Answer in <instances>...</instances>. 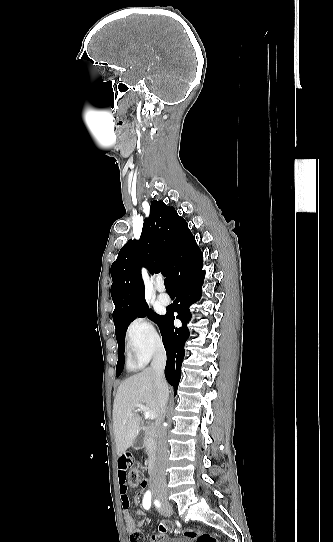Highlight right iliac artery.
<instances>
[{
	"mask_svg": "<svg viewBox=\"0 0 333 542\" xmlns=\"http://www.w3.org/2000/svg\"><path fill=\"white\" fill-rule=\"evenodd\" d=\"M155 502H158L157 500ZM151 506V492L147 491L143 497V507L149 509Z\"/></svg>",
	"mask_w": 333,
	"mask_h": 542,
	"instance_id": "82829eb1",
	"label": "right iliac artery"
}]
</instances>
